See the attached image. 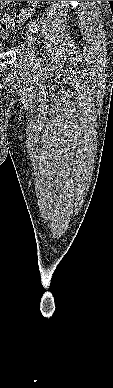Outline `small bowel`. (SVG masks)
<instances>
[{"label":"small bowel","instance_id":"c3829d8e","mask_svg":"<svg viewBox=\"0 0 113 388\" xmlns=\"http://www.w3.org/2000/svg\"><path fill=\"white\" fill-rule=\"evenodd\" d=\"M12 1H0V10L4 8L6 4L11 3Z\"/></svg>","mask_w":113,"mask_h":388}]
</instances>
